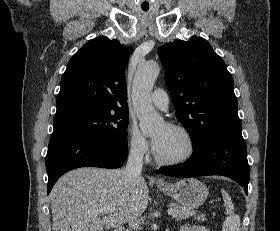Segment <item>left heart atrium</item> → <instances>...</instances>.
Wrapping results in <instances>:
<instances>
[{"label": "left heart atrium", "mask_w": 280, "mask_h": 231, "mask_svg": "<svg viewBox=\"0 0 280 231\" xmlns=\"http://www.w3.org/2000/svg\"><path fill=\"white\" fill-rule=\"evenodd\" d=\"M168 126H166L167 128ZM167 137V130L165 129L152 139V145L154 150L158 153L164 146Z\"/></svg>", "instance_id": "obj_1"}]
</instances>
